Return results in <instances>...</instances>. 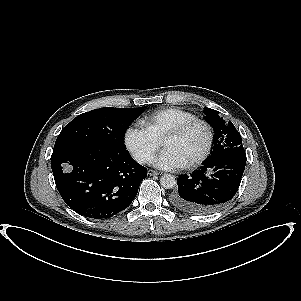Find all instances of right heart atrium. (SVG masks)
<instances>
[{
    "label": "right heart atrium",
    "instance_id": "obj_1",
    "mask_svg": "<svg viewBox=\"0 0 301 301\" xmlns=\"http://www.w3.org/2000/svg\"><path fill=\"white\" fill-rule=\"evenodd\" d=\"M125 145L134 157L147 163L159 150L160 143L145 128L129 127L125 132Z\"/></svg>",
    "mask_w": 301,
    "mask_h": 301
}]
</instances>
